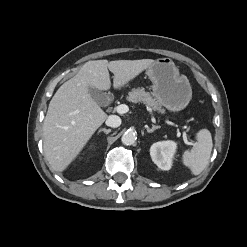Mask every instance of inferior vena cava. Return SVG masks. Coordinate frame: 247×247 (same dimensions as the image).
Wrapping results in <instances>:
<instances>
[{
    "label": "inferior vena cava",
    "mask_w": 247,
    "mask_h": 247,
    "mask_svg": "<svg viewBox=\"0 0 247 247\" xmlns=\"http://www.w3.org/2000/svg\"><path fill=\"white\" fill-rule=\"evenodd\" d=\"M106 125L112 128L119 127L121 125V119L117 115H110L106 120Z\"/></svg>",
    "instance_id": "602c4592"
}]
</instances>
